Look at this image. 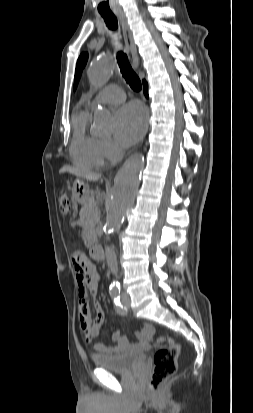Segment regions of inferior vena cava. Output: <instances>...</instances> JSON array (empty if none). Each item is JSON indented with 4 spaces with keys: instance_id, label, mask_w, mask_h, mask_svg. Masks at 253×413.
<instances>
[{
    "instance_id": "1",
    "label": "inferior vena cava",
    "mask_w": 253,
    "mask_h": 413,
    "mask_svg": "<svg viewBox=\"0 0 253 413\" xmlns=\"http://www.w3.org/2000/svg\"><path fill=\"white\" fill-rule=\"evenodd\" d=\"M105 253L107 257V264L111 272L117 275L118 272V263L114 250L110 247H105Z\"/></svg>"
}]
</instances>
